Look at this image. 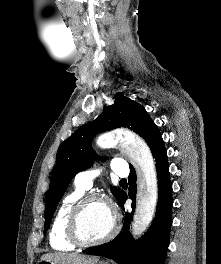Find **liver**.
Wrapping results in <instances>:
<instances>
[{"mask_svg":"<svg viewBox=\"0 0 221 264\" xmlns=\"http://www.w3.org/2000/svg\"><path fill=\"white\" fill-rule=\"evenodd\" d=\"M41 260L53 261L56 264H96L98 257L78 255L76 253L44 254Z\"/></svg>","mask_w":221,"mask_h":264,"instance_id":"6515ba94","label":"liver"}]
</instances>
